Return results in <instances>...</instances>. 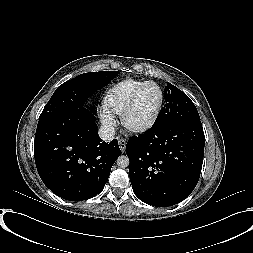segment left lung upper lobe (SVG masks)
Wrapping results in <instances>:
<instances>
[{"label":"left lung upper lobe","instance_id":"obj_1","mask_svg":"<svg viewBox=\"0 0 253 253\" xmlns=\"http://www.w3.org/2000/svg\"><path fill=\"white\" fill-rule=\"evenodd\" d=\"M165 106L160 110L152 127L166 125L176 121H199L200 117L194 103L180 89L167 83Z\"/></svg>","mask_w":253,"mask_h":253}]
</instances>
